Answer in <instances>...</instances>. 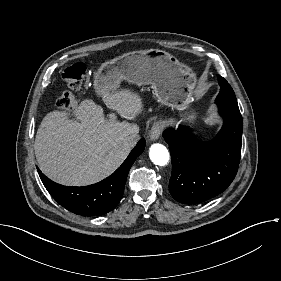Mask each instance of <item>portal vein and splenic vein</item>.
I'll return each mask as SVG.
<instances>
[{
    "label": "portal vein and splenic vein",
    "mask_w": 281,
    "mask_h": 281,
    "mask_svg": "<svg viewBox=\"0 0 281 281\" xmlns=\"http://www.w3.org/2000/svg\"><path fill=\"white\" fill-rule=\"evenodd\" d=\"M110 119H111V120H114V119H115V116H111Z\"/></svg>",
    "instance_id": "18ae733b"
}]
</instances>
